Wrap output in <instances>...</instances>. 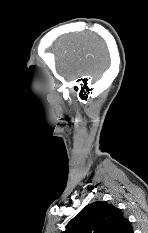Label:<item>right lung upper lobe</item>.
<instances>
[{
	"mask_svg": "<svg viewBox=\"0 0 148 233\" xmlns=\"http://www.w3.org/2000/svg\"><path fill=\"white\" fill-rule=\"evenodd\" d=\"M62 233H134L122 211L104 201L84 207Z\"/></svg>",
	"mask_w": 148,
	"mask_h": 233,
	"instance_id": "right-lung-upper-lobe-1",
	"label": "right lung upper lobe"
}]
</instances>
